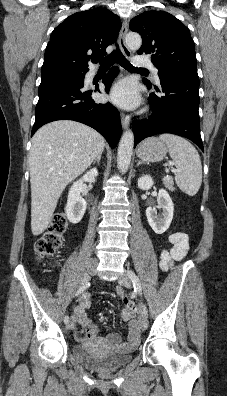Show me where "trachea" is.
I'll list each match as a JSON object with an SVG mask.
<instances>
[{
    "instance_id": "trachea-1",
    "label": "trachea",
    "mask_w": 227,
    "mask_h": 396,
    "mask_svg": "<svg viewBox=\"0 0 227 396\" xmlns=\"http://www.w3.org/2000/svg\"><path fill=\"white\" fill-rule=\"evenodd\" d=\"M116 62L127 70L147 71L144 68L132 66L131 63L124 57L118 46L116 50H114L110 55L100 60V67L109 68Z\"/></svg>"
}]
</instances>
